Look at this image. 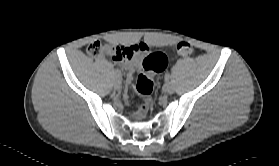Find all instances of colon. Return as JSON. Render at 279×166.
I'll use <instances>...</instances> for the list:
<instances>
[{"instance_id":"5ec220e1","label":"colon","mask_w":279,"mask_h":166,"mask_svg":"<svg viewBox=\"0 0 279 166\" xmlns=\"http://www.w3.org/2000/svg\"><path fill=\"white\" fill-rule=\"evenodd\" d=\"M138 48L135 46L123 47L103 44L99 41L91 43L87 48V53L92 57H98L103 53H112L118 58H130L137 53ZM175 52L181 57H190L194 53L193 46L188 42H180L175 47ZM166 64L165 56L162 53L144 54L142 66L143 72L137 78L136 90L144 97L140 104V112H146L148 108L147 97L152 93L154 88L153 74L164 70Z\"/></svg>"}]
</instances>
